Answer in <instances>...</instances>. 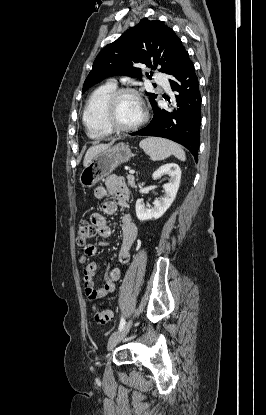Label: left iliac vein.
<instances>
[{
	"label": "left iliac vein",
	"mask_w": 266,
	"mask_h": 415,
	"mask_svg": "<svg viewBox=\"0 0 266 415\" xmlns=\"http://www.w3.org/2000/svg\"><path fill=\"white\" fill-rule=\"evenodd\" d=\"M132 325V320H129L124 327L115 332L108 341V349L112 350L129 332Z\"/></svg>",
	"instance_id": "left-iliac-vein-1"
}]
</instances>
